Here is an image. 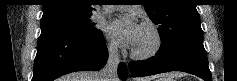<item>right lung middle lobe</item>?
Segmentation results:
<instances>
[{
  "instance_id": "1",
  "label": "right lung middle lobe",
  "mask_w": 237,
  "mask_h": 81,
  "mask_svg": "<svg viewBox=\"0 0 237 81\" xmlns=\"http://www.w3.org/2000/svg\"><path fill=\"white\" fill-rule=\"evenodd\" d=\"M40 26L42 31L65 32L88 38L103 35L101 30L94 27L95 24L91 21V15L57 16L41 19Z\"/></svg>"
}]
</instances>
